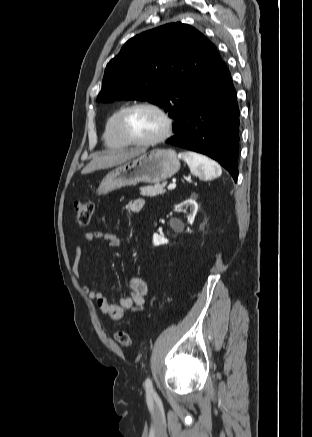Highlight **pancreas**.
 Wrapping results in <instances>:
<instances>
[{"instance_id":"obj_1","label":"pancreas","mask_w":312,"mask_h":437,"mask_svg":"<svg viewBox=\"0 0 312 437\" xmlns=\"http://www.w3.org/2000/svg\"><path fill=\"white\" fill-rule=\"evenodd\" d=\"M166 183L163 182L161 184H156L154 186H148V187H142L140 188V194L142 196H147V197H154L157 195H162L165 193V187Z\"/></svg>"}]
</instances>
